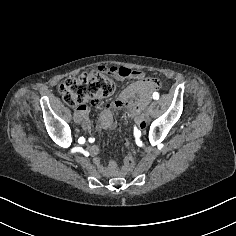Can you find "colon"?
Listing matches in <instances>:
<instances>
[{
    "label": "colon",
    "instance_id": "colon-1",
    "mask_svg": "<svg viewBox=\"0 0 236 236\" xmlns=\"http://www.w3.org/2000/svg\"><path fill=\"white\" fill-rule=\"evenodd\" d=\"M118 76L130 77L132 71L127 68L100 66L77 77L66 78L59 85V92L66 104L76 106L112 94L115 89V79ZM134 166V158L128 152L124 161V171L130 173Z\"/></svg>",
    "mask_w": 236,
    "mask_h": 236
}]
</instances>
